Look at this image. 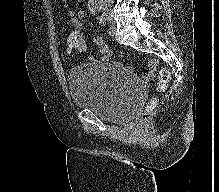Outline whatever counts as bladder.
Here are the masks:
<instances>
[{"label": "bladder", "instance_id": "bladder-1", "mask_svg": "<svg viewBox=\"0 0 219 192\" xmlns=\"http://www.w3.org/2000/svg\"><path fill=\"white\" fill-rule=\"evenodd\" d=\"M73 103L111 123L132 119L140 110L143 96L127 72L115 63L87 62L67 74Z\"/></svg>", "mask_w": 219, "mask_h": 192}]
</instances>
